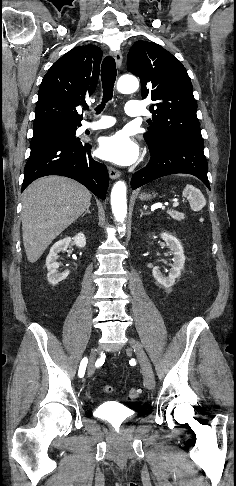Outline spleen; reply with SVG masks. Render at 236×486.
<instances>
[{
    "instance_id": "3e777b00",
    "label": "spleen",
    "mask_w": 236,
    "mask_h": 486,
    "mask_svg": "<svg viewBox=\"0 0 236 486\" xmlns=\"http://www.w3.org/2000/svg\"><path fill=\"white\" fill-rule=\"evenodd\" d=\"M183 196L189 200L193 211H200L206 205L203 194L193 185H186L183 190Z\"/></svg>"
}]
</instances>
